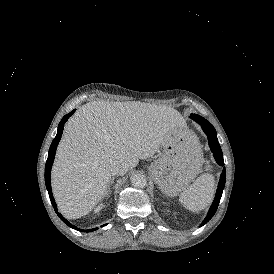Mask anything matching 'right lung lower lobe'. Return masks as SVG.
<instances>
[{"label":"right lung lower lobe","instance_id":"1","mask_svg":"<svg viewBox=\"0 0 274 274\" xmlns=\"http://www.w3.org/2000/svg\"><path fill=\"white\" fill-rule=\"evenodd\" d=\"M74 111L75 110H73L69 114L65 115L62 118L59 125H58V132H57V135H56L55 139L52 141V144L50 146L49 153H48V159H47V162H46V165H45V183H46V188L48 190L51 203H52L57 215L61 218V220L64 223H66L68 226L72 227L73 229H76V230H79V231H82V232H91V231L97 230L98 228L89 229V230L79 229V228L75 227L74 225H72L71 223H69L60 213H58L57 208H56L57 206H56V203L54 201V198H53V195H52V192H51L50 172H51V166L53 164L56 148H57L58 142L61 139L64 124L68 120V118L74 113Z\"/></svg>","mask_w":274,"mask_h":274}]
</instances>
